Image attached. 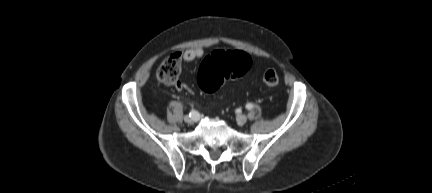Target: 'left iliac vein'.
Returning a JSON list of instances; mask_svg holds the SVG:
<instances>
[{
    "mask_svg": "<svg viewBox=\"0 0 432 193\" xmlns=\"http://www.w3.org/2000/svg\"><path fill=\"white\" fill-rule=\"evenodd\" d=\"M236 121L239 125H243L247 122V116L244 114H239L236 117Z\"/></svg>",
    "mask_w": 432,
    "mask_h": 193,
    "instance_id": "4c4485c4",
    "label": "left iliac vein"
}]
</instances>
